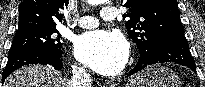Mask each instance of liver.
<instances>
[{
    "instance_id": "6515ba94",
    "label": "liver",
    "mask_w": 205,
    "mask_h": 87,
    "mask_svg": "<svg viewBox=\"0 0 205 87\" xmlns=\"http://www.w3.org/2000/svg\"><path fill=\"white\" fill-rule=\"evenodd\" d=\"M69 82L51 66H24L6 79L3 87H69Z\"/></svg>"
}]
</instances>
